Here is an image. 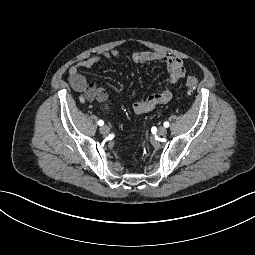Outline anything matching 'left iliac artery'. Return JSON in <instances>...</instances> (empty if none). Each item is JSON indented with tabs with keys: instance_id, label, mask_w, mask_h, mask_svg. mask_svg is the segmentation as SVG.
<instances>
[{
	"instance_id": "1",
	"label": "left iliac artery",
	"mask_w": 255,
	"mask_h": 255,
	"mask_svg": "<svg viewBox=\"0 0 255 255\" xmlns=\"http://www.w3.org/2000/svg\"><path fill=\"white\" fill-rule=\"evenodd\" d=\"M164 127H169V122H164Z\"/></svg>"
}]
</instances>
